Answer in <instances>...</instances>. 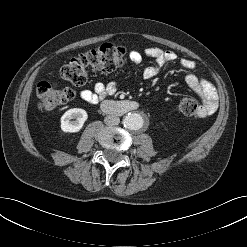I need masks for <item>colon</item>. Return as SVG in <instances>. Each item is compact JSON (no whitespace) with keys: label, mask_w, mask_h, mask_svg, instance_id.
Returning <instances> with one entry per match:
<instances>
[{"label":"colon","mask_w":247,"mask_h":247,"mask_svg":"<svg viewBox=\"0 0 247 247\" xmlns=\"http://www.w3.org/2000/svg\"><path fill=\"white\" fill-rule=\"evenodd\" d=\"M126 59V50L109 44L101 45L72 58L60 69V77L82 86L90 72L109 73L121 67ZM39 105L43 109H53L71 101L75 94L70 88H58L48 81H42L36 88ZM198 109L196 101L184 98L177 104V110L185 116H193Z\"/></svg>","instance_id":"colon-1"}]
</instances>
